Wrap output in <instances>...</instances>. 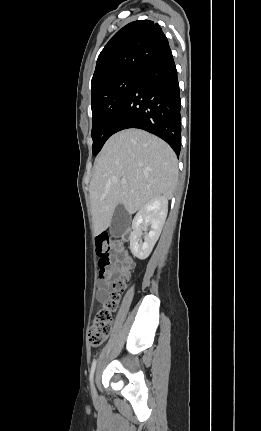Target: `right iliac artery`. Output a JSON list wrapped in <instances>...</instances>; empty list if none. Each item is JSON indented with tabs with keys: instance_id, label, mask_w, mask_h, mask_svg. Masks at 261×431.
I'll list each match as a JSON object with an SVG mask.
<instances>
[{
	"instance_id": "obj_1",
	"label": "right iliac artery",
	"mask_w": 261,
	"mask_h": 431,
	"mask_svg": "<svg viewBox=\"0 0 261 431\" xmlns=\"http://www.w3.org/2000/svg\"><path fill=\"white\" fill-rule=\"evenodd\" d=\"M95 368H96V360L93 361L92 366H91V371H90V385H91V388H93V377H94Z\"/></svg>"
}]
</instances>
